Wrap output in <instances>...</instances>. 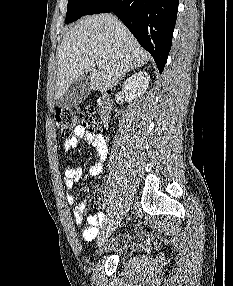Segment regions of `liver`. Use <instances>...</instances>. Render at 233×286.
Listing matches in <instances>:
<instances>
[{"label": "liver", "mask_w": 233, "mask_h": 286, "mask_svg": "<svg viewBox=\"0 0 233 286\" xmlns=\"http://www.w3.org/2000/svg\"><path fill=\"white\" fill-rule=\"evenodd\" d=\"M54 98H60L81 75L89 72L90 90L111 89L126 72L149 61V54L112 14L78 20L58 47ZM97 62L104 68L96 70Z\"/></svg>", "instance_id": "obj_1"}]
</instances>
